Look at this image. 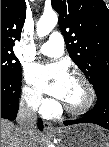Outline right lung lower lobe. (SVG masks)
I'll list each match as a JSON object with an SVG mask.
<instances>
[{"label":"right lung lower lobe","instance_id":"98d812e1","mask_svg":"<svg viewBox=\"0 0 109 147\" xmlns=\"http://www.w3.org/2000/svg\"><path fill=\"white\" fill-rule=\"evenodd\" d=\"M21 92V79H1V118L14 120L18 112V101ZM38 128L43 129L41 119L38 120Z\"/></svg>","mask_w":109,"mask_h":147}]
</instances>
